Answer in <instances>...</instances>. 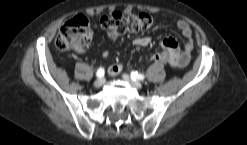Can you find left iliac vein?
Returning <instances> with one entry per match:
<instances>
[{
  "label": "left iliac vein",
  "instance_id": "1",
  "mask_svg": "<svg viewBox=\"0 0 247 145\" xmlns=\"http://www.w3.org/2000/svg\"><path fill=\"white\" fill-rule=\"evenodd\" d=\"M122 78H123L126 82H128L129 84H131L132 86H134V87H136V88H138V89L142 88V83L139 82V81L133 80L128 74H123V75H122Z\"/></svg>",
  "mask_w": 247,
  "mask_h": 145
}]
</instances>
